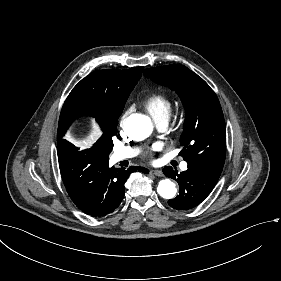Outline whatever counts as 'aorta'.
<instances>
[{
	"mask_svg": "<svg viewBox=\"0 0 281 281\" xmlns=\"http://www.w3.org/2000/svg\"><path fill=\"white\" fill-rule=\"evenodd\" d=\"M153 126L151 119L142 114L130 115L125 124V131L137 141L146 139L152 133ZM158 194L165 199L175 197L177 189L175 183L169 179H164L159 182L157 187Z\"/></svg>",
	"mask_w": 281,
	"mask_h": 281,
	"instance_id": "aorta-1",
	"label": "aorta"
}]
</instances>
